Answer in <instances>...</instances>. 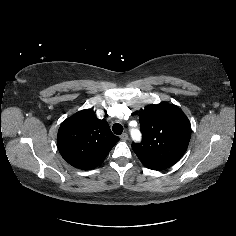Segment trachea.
I'll return each mask as SVG.
<instances>
[{
    "label": "trachea",
    "mask_w": 236,
    "mask_h": 236,
    "mask_svg": "<svg viewBox=\"0 0 236 236\" xmlns=\"http://www.w3.org/2000/svg\"><path fill=\"white\" fill-rule=\"evenodd\" d=\"M112 130L116 135H120L123 132V126L119 123H115L112 127Z\"/></svg>",
    "instance_id": "3493384b"
}]
</instances>
